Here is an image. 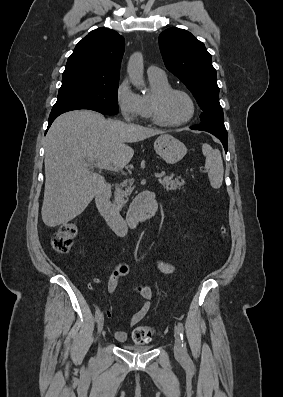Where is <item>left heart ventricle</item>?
Returning a JSON list of instances; mask_svg holds the SVG:
<instances>
[{"instance_id": "1", "label": "left heart ventricle", "mask_w": 283, "mask_h": 397, "mask_svg": "<svg viewBox=\"0 0 283 397\" xmlns=\"http://www.w3.org/2000/svg\"><path fill=\"white\" fill-rule=\"evenodd\" d=\"M191 113V104L182 94L175 93L169 96L162 107V117L168 122L184 120Z\"/></svg>"}]
</instances>
